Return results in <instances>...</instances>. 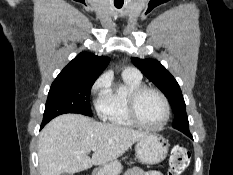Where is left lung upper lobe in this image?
I'll use <instances>...</instances> for the list:
<instances>
[{
  "label": "left lung upper lobe",
  "mask_w": 233,
  "mask_h": 175,
  "mask_svg": "<svg viewBox=\"0 0 233 175\" xmlns=\"http://www.w3.org/2000/svg\"><path fill=\"white\" fill-rule=\"evenodd\" d=\"M131 60L168 98L175 114L173 128L189 135L185 101L175 78L157 60L139 58H131Z\"/></svg>",
  "instance_id": "obj_1"
}]
</instances>
